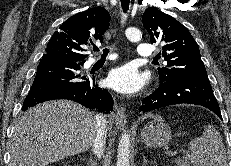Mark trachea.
I'll return each mask as SVG.
<instances>
[{
  "label": "trachea",
  "instance_id": "1",
  "mask_svg": "<svg viewBox=\"0 0 231 166\" xmlns=\"http://www.w3.org/2000/svg\"><path fill=\"white\" fill-rule=\"evenodd\" d=\"M129 4H130V0H121V6L124 12H126L129 9ZM94 51H99L98 47H93ZM109 53L108 49H104L103 50V54L102 57L107 56V54Z\"/></svg>",
  "mask_w": 231,
  "mask_h": 166
}]
</instances>
